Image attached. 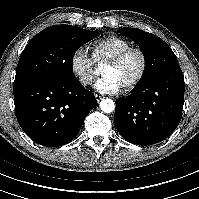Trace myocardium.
Masks as SVG:
<instances>
[{
  "instance_id": "f54148a6",
  "label": "myocardium",
  "mask_w": 199,
  "mask_h": 199,
  "mask_svg": "<svg viewBox=\"0 0 199 199\" xmlns=\"http://www.w3.org/2000/svg\"><path fill=\"white\" fill-rule=\"evenodd\" d=\"M137 52L140 57L141 65L137 75L128 83H126L123 88L125 90H131L138 86L143 80L146 70H147V56L144 50L139 46H129L123 51H121L117 56H115L111 61H109L105 67L115 68L122 64V62L126 59V57L132 53Z\"/></svg>"
}]
</instances>
